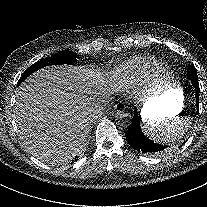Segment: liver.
Wrapping results in <instances>:
<instances>
[{"label": "liver", "mask_w": 207, "mask_h": 207, "mask_svg": "<svg viewBox=\"0 0 207 207\" xmlns=\"http://www.w3.org/2000/svg\"><path fill=\"white\" fill-rule=\"evenodd\" d=\"M93 73L80 66L53 65L21 83L15 121L20 139L34 156H66L82 147L97 111Z\"/></svg>", "instance_id": "liver-1"}]
</instances>
